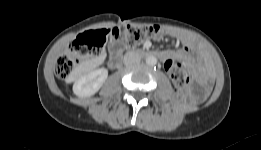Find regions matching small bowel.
<instances>
[{
  "mask_svg": "<svg viewBox=\"0 0 261 150\" xmlns=\"http://www.w3.org/2000/svg\"><path fill=\"white\" fill-rule=\"evenodd\" d=\"M168 34L180 41L182 47L174 50L158 52V57L164 62V67L166 71H168V61L175 59L182 60L186 62L188 65L196 67L197 63L195 59V53L197 51V43L195 39L186 33L179 32L176 30H170L168 31ZM146 45L148 46L149 43H147Z\"/></svg>",
  "mask_w": 261,
  "mask_h": 150,
  "instance_id": "small-bowel-1",
  "label": "small bowel"
}]
</instances>
